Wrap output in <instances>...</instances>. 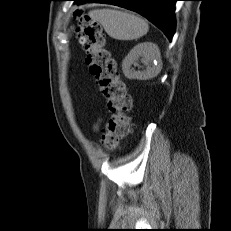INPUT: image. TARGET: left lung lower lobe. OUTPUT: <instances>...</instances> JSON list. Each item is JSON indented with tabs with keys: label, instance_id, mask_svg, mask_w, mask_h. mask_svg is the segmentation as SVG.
I'll use <instances>...</instances> for the list:
<instances>
[{
	"label": "left lung lower lobe",
	"instance_id": "left-lung-lower-lobe-1",
	"mask_svg": "<svg viewBox=\"0 0 231 231\" xmlns=\"http://www.w3.org/2000/svg\"><path fill=\"white\" fill-rule=\"evenodd\" d=\"M77 4L99 2L135 11L160 28L171 41L175 32L174 10L178 0H72Z\"/></svg>",
	"mask_w": 231,
	"mask_h": 231
}]
</instances>
